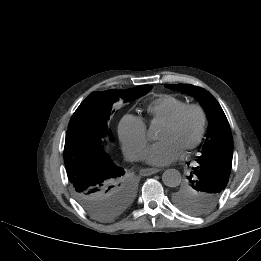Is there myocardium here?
<instances>
[{
  "instance_id": "obj_1",
  "label": "myocardium",
  "mask_w": 261,
  "mask_h": 261,
  "mask_svg": "<svg viewBox=\"0 0 261 261\" xmlns=\"http://www.w3.org/2000/svg\"><path fill=\"white\" fill-rule=\"evenodd\" d=\"M191 110H194L198 113V115L200 117V124H199V128H198L196 136L189 144H187L183 148V152L190 151V150L196 148L201 143V141L204 137V134H205L206 124H207V115H206L205 109L200 104L188 103V104L184 105L183 107H181L167 121H165V125L172 126V127L176 126L181 122V120L183 119L185 114Z\"/></svg>"
}]
</instances>
